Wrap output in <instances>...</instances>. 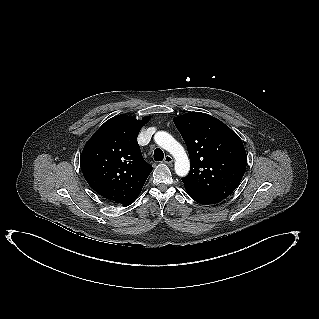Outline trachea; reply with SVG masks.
Listing matches in <instances>:
<instances>
[{
  "mask_svg": "<svg viewBox=\"0 0 319 319\" xmlns=\"http://www.w3.org/2000/svg\"><path fill=\"white\" fill-rule=\"evenodd\" d=\"M153 157L155 161H162L164 159V153L160 148H157L154 151Z\"/></svg>",
  "mask_w": 319,
  "mask_h": 319,
  "instance_id": "1",
  "label": "trachea"
}]
</instances>
